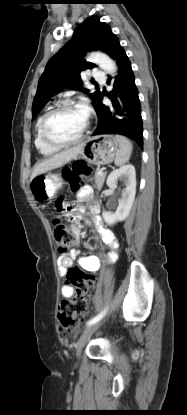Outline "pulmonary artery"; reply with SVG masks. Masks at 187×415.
Masks as SVG:
<instances>
[{
	"instance_id": "e3ab8cb5",
	"label": "pulmonary artery",
	"mask_w": 187,
	"mask_h": 415,
	"mask_svg": "<svg viewBox=\"0 0 187 415\" xmlns=\"http://www.w3.org/2000/svg\"><path fill=\"white\" fill-rule=\"evenodd\" d=\"M92 77L94 78L95 81L100 82V83H104V81H105L104 73L102 71L97 70V69H94L92 71Z\"/></svg>"
}]
</instances>
